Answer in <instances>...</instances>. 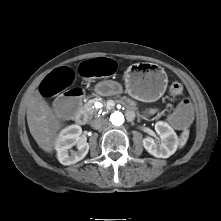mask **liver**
<instances>
[{
  "label": "liver",
  "instance_id": "6515ba94",
  "mask_svg": "<svg viewBox=\"0 0 221 221\" xmlns=\"http://www.w3.org/2000/svg\"><path fill=\"white\" fill-rule=\"evenodd\" d=\"M27 123L38 146L45 152L52 153L63 123L38 92L29 99Z\"/></svg>",
  "mask_w": 221,
  "mask_h": 221
}]
</instances>
